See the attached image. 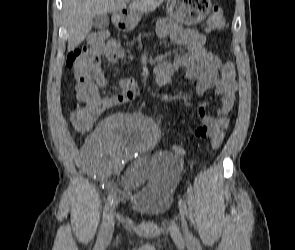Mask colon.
<instances>
[{
	"mask_svg": "<svg viewBox=\"0 0 295 250\" xmlns=\"http://www.w3.org/2000/svg\"><path fill=\"white\" fill-rule=\"evenodd\" d=\"M226 23L224 11L221 7H213L208 19L207 29L215 32L221 30ZM108 40V33L106 31L95 32L90 38V47L101 46ZM88 48H82L72 53L76 58H83ZM221 76L227 81L235 79V66L231 61H226L221 69ZM98 109L93 105L75 104L69 114L70 122L78 131H89L96 120Z\"/></svg>",
	"mask_w": 295,
	"mask_h": 250,
	"instance_id": "obj_1",
	"label": "colon"
}]
</instances>
